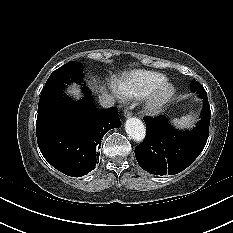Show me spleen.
<instances>
[{"mask_svg": "<svg viewBox=\"0 0 233 233\" xmlns=\"http://www.w3.org/2000/svg\"><path fill=\"white\" fill-rule=\"evenodd\" d=\"M172 123L179 129H189L194 125V117L192 114H189L180 118H174Z\"/></svg>", "mask_w": 233, "mask_h": 233, "instance_id": "obj_1", "label": "spleen"}]
</instances>
